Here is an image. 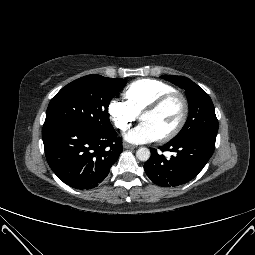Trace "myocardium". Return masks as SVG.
Instances as JSON below:
<instances>
[{
    "instance_id": "obj_1",
    "label": "myocardium",
    "mask_w": 255,
    "mask_h": 255,
    "mask_svg": "<svg viewBox=\"0 0 255 255\" xmlns=\"http://www.w3.org/2000/svg\"><path fill=\"white\" fill-rule=\"evenodd\" d=\"M173 98L180 99V101L182 103V113H181L180 119L177 122V124L169 132H167L166 134L162 135L159 138V140H161V141H167V140L172 139L181 131V129L185 125L187 118H188V114H189V101H188L186 95L184 93H182L180 91H176V90L165 93V94L159 96L158 98H156L154 101H152L148 106H146L140 114V118H141L144 114L157 111L165 103H167L168 101H170Z\"/></svg>"
}]
</instances>
